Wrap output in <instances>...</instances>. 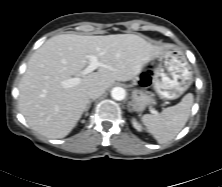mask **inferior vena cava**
Here are the masks:
<instances>
[{
  "mask_svg": "<svg viewBox=\"0 0 222 187\" xmlns=\"http://www.w3.org/2000/svg\"><path fill=\"white\" fill-rule=\"evenodd\" d=\"M105 92V88L101 86H94L89 88L88 90V97L91 99H97Z\"/></svg>",
  "mask_w": 222,
  "mask_h": 187,
  "instance_id": "obj_1",
  "label": "inferior vena cava"
}]
</instances>
